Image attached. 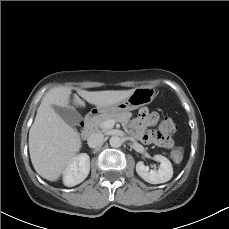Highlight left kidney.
<instances>
[{
    "label": "left kidney",
    "instance_id": "5707ae66",
    "mask_svg": "<svg viewBox=\"0 0 229 229\" xmlns=\"http://www.w3.org/2000/svg\"><path fill=\"white\" fill-rule=\"evenodd\" d=\"M154 160L160 162L158 170H150L143 162L136 164L137 174L146 182L151 184H160L169 181L173 176V167L169 159L162 155H154Z\"/></svg>",
    "mask_w": 229,
    "mask_h": 229
}]
</instances>
